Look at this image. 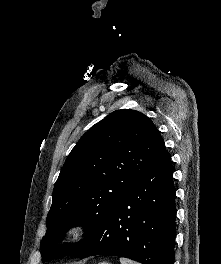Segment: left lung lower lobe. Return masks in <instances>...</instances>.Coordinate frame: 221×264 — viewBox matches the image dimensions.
Here are the masks:
<instances>
[{
  "label": "left lung lower lobe",
  "instance_id": "left-lung-lower-lobe-1",
  "mask_svg": "<svg viewBox=\"0 0 221 264\" xmlns=\"http://www.w3.org/2000/svg\"><path fill=\"white\" fill-rule=\"evenodd\" d=\"M175 187L167 150L119 199L91 237L69 256L125 257L142 264H173Z\"/></svg>",
  "mask_w": 221,
  "mask_h": 264
}]
</instances>
